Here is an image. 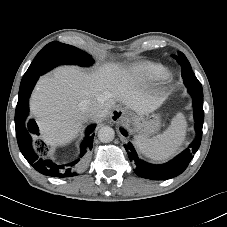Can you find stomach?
Masks as SVG:
<instances>
[{
    "label": "stomach",
    "instance_id": "0dacf381",
    "mask_svg": "<svg viewBox=\"0 0 227 227\" xmlns=\"http://www.w3.org/2000/svg\"><path fill=\"white\" fill-rule=\"evenodd\" d=\"M129 123L132 125L133 130L140 136L150 137L157 133L161 126V119L159 114L147 113V114H133L130 115Z\"/></svg>",
    "mask_w": 227,
    "mask_h": 227
}]
</instances>
